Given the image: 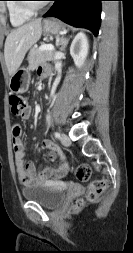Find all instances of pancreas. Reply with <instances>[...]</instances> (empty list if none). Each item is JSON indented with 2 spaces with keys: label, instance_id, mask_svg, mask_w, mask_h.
Returning <instances> with one entry per match:
<instances>
[{
  "label": "pancreas",
  "instance_id": "obj_1",
  "mask_svg": "<svg viewBox=\"0 0 133 253\" xmlns=\"http://www.w3.org/2000/svg\"><path fill=\"white\" fill-rule=\"evenodd\" d=\"M54 60V52L53 51H40L39 48H33L31 49L28 57L29 61V69L34 70L39 65L47 62V61H53Z\"/></svg>",
  "mask_w": 133,
  "mask_h": 253
}]
</instances>
